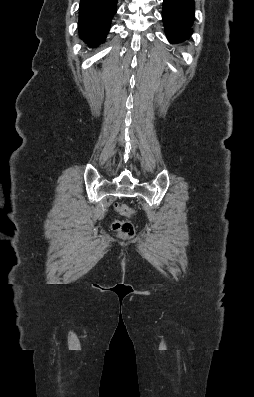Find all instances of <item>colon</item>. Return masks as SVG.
I'll return each mask as SVG.
<instances>
[{
	"label": "colon",
	"instance_id": "colon-1",
	"mask_svg": "<svg viewBox=\"0 0 254 397\" xmlns=\"http://www.w3.org/2000/svg\"><path fill=\"white\" fill-rule=\"evenodd\" d=\"M116 212L121 216H131L133 209L126 204H117L115 206ZM112 229L121 239H130L134 236V226L130 221L127 220H114L112 223Z\"/></svg>",
	"mask_w": 254,
	"mask_h": 397
}]
</instances>
